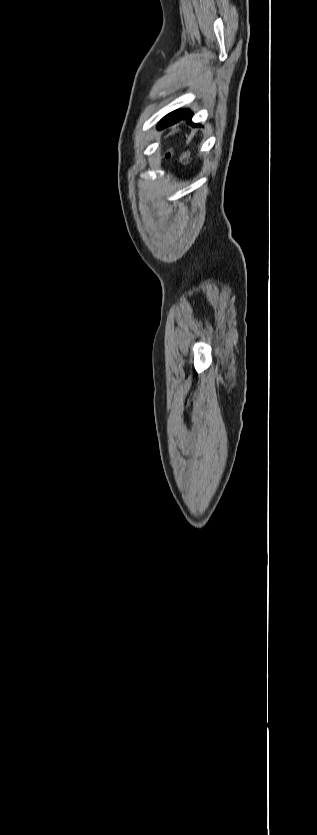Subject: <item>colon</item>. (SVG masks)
Masks as SVG:
<instances>
[{
  "label": "colon",
  "mask_w": 317,
  "mask_h": 835,
  "mask_svg": "<svg viewBox=\"0 0 317 835\" xmlns=\"http://www.w3.org/2000/svg\"><path fill=\"white\" fill-rule=\"evenodd\" d=\"M173 155H174V152H173V151H169V152L167 153V157H171V156H173ZM188 157H189V153H187V152H186V153H184V154H182V155H181V160H182V161H186V160L188 159Z\"/></svg>",
  "instance_id": "obj_1"
}]
</instances>
